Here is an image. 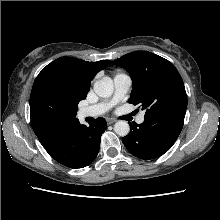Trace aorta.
<instances>
[{"mask_svg": "<svg viewBox=\"0 0 220 220\" xmlns=\"http://www.w3.org/2000/svg\"><path fill=\"white\" fill-rule=\"evenodd\" d=\"M93 89L99 97L107 98L112 95L114 86L111 82L98 80L94 83ZM114 131L117 135L124 137L129 134L130 126L127 121L120 120L115 123Z\"/></svg>", "mask_w": 220, "mask_h": 220, "instance_id": "762f6f07", "label": "aorta"}]
</instances>
